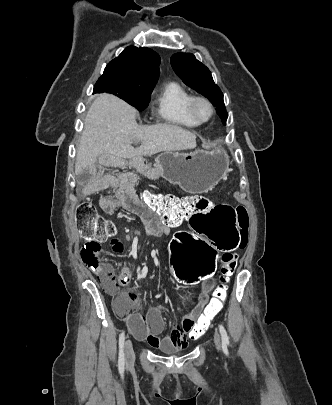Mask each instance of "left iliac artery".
<instances>
[{"mask_svg":"<svg viewBox=\"0 0 332 405\" xmlns=\"http://www.w3.org/2000/svg\"><path fill=\"white\" fill-rule=\"evenodd\" d=\"M219 331H220V334H221V337H222L223 348H226L227 345H229V337L227 335V332H226L224 326L221 325V324L219 325Z\"/></svg>","mask_w":332,"mask_h":405,"instance_id":"left-iliac-artery-1","label":"left iliac artery"}]
</instances>
